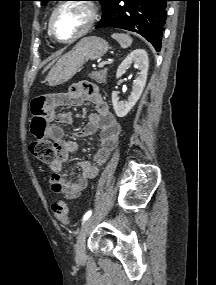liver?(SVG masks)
<instances>
[{
	"label": "liver",
	"instance_id": "6515ba94",
	"mask_svg": "<svg viewBox=\"0 0 216 285\" xmlns=\"http://www.w3.org/2000/svg\"><path fill=\"white\" fill-rule=\"evenodd\" d=\"M60 54H61V53H58V54L56 55V57H58ZM54 61H55V59H54L50 64H48V65L44 68V71H46V70L54 63Z\"/></svg>",
	"mask_w": 216,
	"mask_h": 285
}]
</instances>
